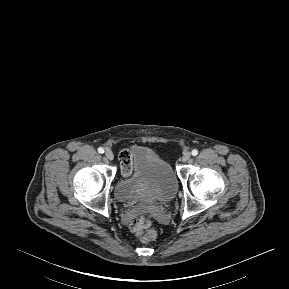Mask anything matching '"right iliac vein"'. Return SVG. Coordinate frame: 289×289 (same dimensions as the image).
Masks as SVG:
<instances>
[{"label": "right iliac vein", "instance_id": "right-iliac-vein-1", "mask_svg": "<svg viewBox=\"0 0 289 289\" xmlns=\"http://www.w3.org/2000/svg\"><path fill=\"white\" fill-rule=\"evenodd\" d=\"M105 156H106V158L108 159V160H113V158H114V155H113V153H112V151H110V150H107L106 152H105Z\"/></svg>", "mask_w": 289, "mask_h": 289}]
</instances>
